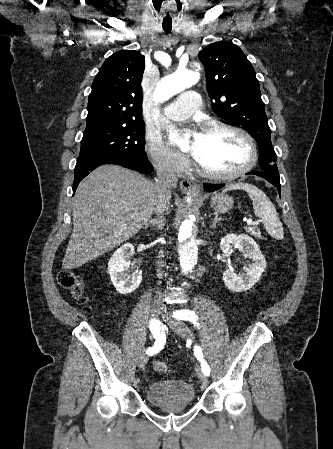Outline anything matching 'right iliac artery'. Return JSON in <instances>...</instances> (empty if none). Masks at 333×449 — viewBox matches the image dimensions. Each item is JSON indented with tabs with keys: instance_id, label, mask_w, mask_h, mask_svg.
I'll list each match as a JSON object with an SVG mask.
<instances>
[{
	"instance_id": "82829eb1",
	"label": "right iliac artery",
	"mask_w": 333,
	"mask_h": 449,
	"mask_svg": "<svg viewBox=\"0 0 333 449\" xmlns=\"http://www.w3.org/2000/svg\"><path fill=\"white\" fill-rule=\"evenodd\" d=\"M160 321L159 320H151L150 321V330L152 332L153 337L155 338V342L152 348H148L146 351L147 354L153 355L158 353L164 346V337L160 332Z\"/></svg>"
}]
</instances>
